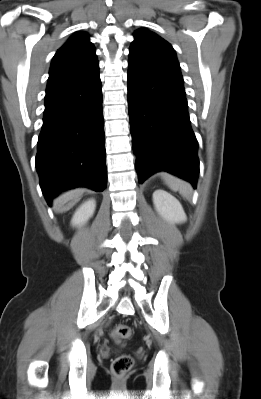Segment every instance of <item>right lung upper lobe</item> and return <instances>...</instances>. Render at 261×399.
Masks as SVG:
<instances>
[{"label": "right lung upper lobe", "instance_id": "cb5924a9", "mask_svg": "<svg viewBox=\"0 0 261 399\" xmlns=\"http://www.w3.org/2000/svg\"><path fill=\"white\" fill-rule=\"evenodd\" d=\"M99 72L95 47L85 32L74 33L52 59L46 92L69 87Z\"/></svg>", "mask_w": 261, "mask_h": 399}]
</instances>
